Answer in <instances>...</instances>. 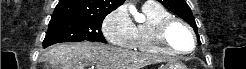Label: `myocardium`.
<instances>
[{"mask_svg": "<svg viewBox=\"0 0 246 69\" xmlns=\"http://www.w3.org/2000/svg\"><path fill=\"white\" fill-rule=\"evenodd\" d=\"M181 25L186 31L189 33L191 37V41L195 42L194 33L192 31V28L183 20L176 18V17H169L166 19H163L150 33L151 40L158 45L159 47L163 48L166 51H169L173 54H188L193 51H181L177 48L173 47L167 40V34L169 32V29L174 25Z\"/></svg>", "mask_w": 246, "mask_h": 69, "instance_id": "myocardium-1", "label": "myocardium"}]
</instances>
